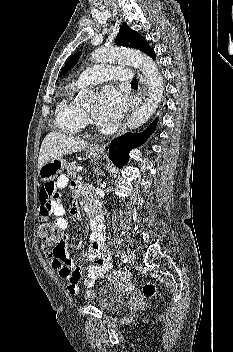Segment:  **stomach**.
<instances>
[{"label": "stomach", "mask_w": 233, "mask_h": 352, "mask_svg": "<svg viewBox=\"0 0 233 352\" xmlns=\"http://www.w3.org/2000/svg\"><path fill=\"white\" fill-rule=\"evenodd\" d=\"M101 154V150H95L93 148L87 150V155L91 160H98ZM65 167L66 161L63 158L52 159L38 170V174L43 181L53 180Z\"/></svg>", "instance_id": "stomach-1"}]
</instances>
